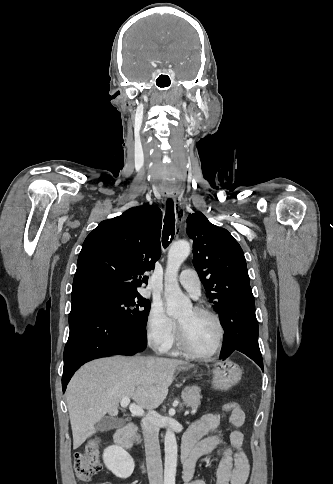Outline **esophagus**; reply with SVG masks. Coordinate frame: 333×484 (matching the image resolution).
Returning <instances> with one entry per match:
<instances>
[{
	"mask_svg": "<svg viewBox=\"0 0 333 484\" xmlns=\"http://www.w3.org/2000/svg\"><path fill=\"white\" fill-rule=\"evenodd\" d=\"M168 197H172V196H168ZM179 215H180V210L178 208V210H177V216L179 217Z\"/></svg>",
	"mask_w": 333,
	"mask_h": 484,
	"instance_id": "34e87169",
	"label": "esophagus"
}]
</instances>
